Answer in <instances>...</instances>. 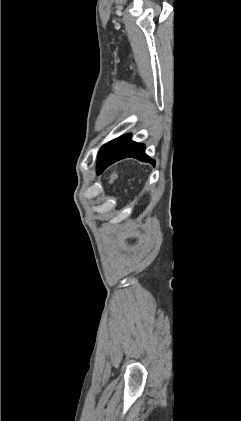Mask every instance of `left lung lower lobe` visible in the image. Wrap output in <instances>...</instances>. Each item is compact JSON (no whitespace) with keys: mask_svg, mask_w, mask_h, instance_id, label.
<instances>
[{"mask_svg":"<svg viewBox=\"0 0 241 421\" xmlns=\"http://www.w3.org/2000/svg\"><path fill=\"white\" fill-rule=\"evenodd\" d=\"M144 150L145 145L132 141L130 134L108 142L98 159L97 174H101L112 163L127 157H133L154 165L155 161L147 156Z\"/></svg>","mask_w":241,"mask_h":421,"instance_id":"0a47b994","label":"left lung lower lobe"}]
</instances>
